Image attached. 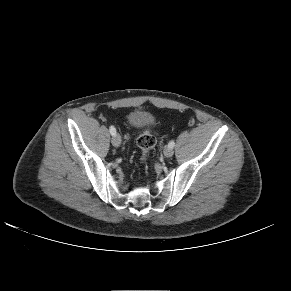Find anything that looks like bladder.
Here are the masks:
<instances>
[{
	"instance_id": "1",
	"label": "bladder",
	"mask_w": 291,
	"mask_h": 291,
	"mask_svg": "<svg viewBox=\"0 0 291 291\" xmlns=\"http://www.w3.org/2000/svg\"><path fill=\"white\" fill-rule=\"evenodd\" d=\"M127 119L131 126L141 128L149 125L152 122L153 117L146 111L135 110L128 115Z\"/></svg>"
}]
</instances>
